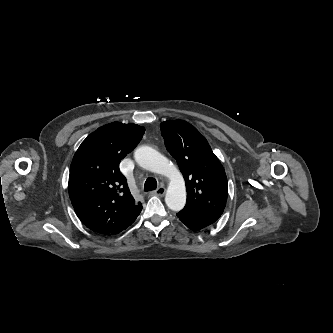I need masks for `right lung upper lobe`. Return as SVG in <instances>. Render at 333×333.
Returning <instances> with one entry per match:
<instances>
[{
	"mask_svg": "<svg viewBox=\"0 0 333 333\" xmlns=\"http://www.w3.org/2000/svg\"><path fill=\"white\" fill-rule=\"evenodd\" d=\"M145 132L136 124L112 122L90 134L76 151L69 174V197L77 217L94 232L118 234L142 210L119 170L120 161Z\"/></svg>",
	"mask_w": 333,
	"mask_h": 333,
	"instance_id": "cb5924a9",
	"label": "right lung upper lobe"
}]
</instances>
